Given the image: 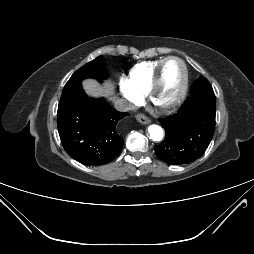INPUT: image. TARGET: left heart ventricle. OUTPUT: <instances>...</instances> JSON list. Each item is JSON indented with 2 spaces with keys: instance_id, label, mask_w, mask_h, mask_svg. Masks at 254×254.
Wrapping results in <instances>:
<instances>
[{
  "instance_id": "b2bd125f",
  "label": "left heart ventricle",
  "mask_w": 254,
  "mask_h": 254,
  "mask_svg": "<svg viewBox=\"0 0 254 254\" xmlns=\"http://www.w3.org/2000/svg\"><path fill=\"white\" fill-rule=\"evenodd\" d=\"M182 75L183 69L179 62L171 60L164 66L161 86L156 95L157 103L167 104L177 96L182 83Z\"/></svg>"
}]
</instances>
